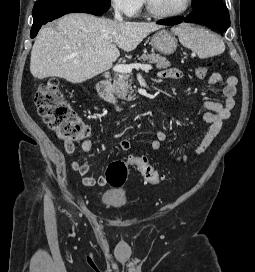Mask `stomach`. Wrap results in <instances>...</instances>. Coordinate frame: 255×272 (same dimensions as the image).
<instances>
[{
  "label": "stomach",
  "mask_w": 255,
  "mask_h": 272,
  "mask_svg": "<svg viewBox=\"0 0 255 272\" xmlns=\"http://www.w3.org/2000/svg\"><path fill=\"white\" fill-rule=\"evenodd\" d=\"M151 45L163 55H171L176 51L177 39L168 30H160L151 37Z\"/></svg>",
  "instance_id": "stomach-1"
}]
</instances>
